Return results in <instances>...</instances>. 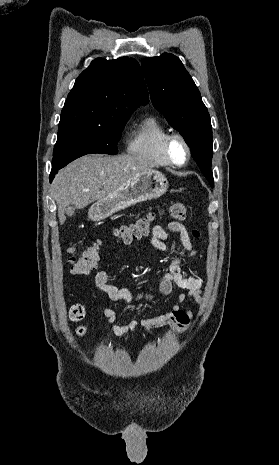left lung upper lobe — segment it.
<instances>
[{
  "instance_id": "left-lung-upper-lobe-1",
  "label": "left lung upper lobe",
  "mask_w": 279,
  "mask_h": 465,
  "mask_svg": "<svg viewBox=\"0 0 279 465\" xmlns=\"http://www.w3.org/2000/svg\"><path fill=\"white\" fill-rule=\"evenodd\" d=\"M142 69L154 107L184 137L213 187L211 120L193 79L179 58L170 53L145 58Z\"/></svg>"
}]
</instances>
